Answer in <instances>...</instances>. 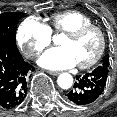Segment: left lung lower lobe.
<instances>
[{
    "mask_svg": "<svg viewBox=\"0 0 117 117\" xmlns=\"http://www.w3.org/2000/svg\"><path fill=\"white\" fill-rule=\"evenodd\" d=\"M109 77V68L98 66L84 76H76L73 88L67 93V99L76 105H88L96 101L103 93Z\"/></svg>",
    "mask_w": 117,
    "mask_h": 117,
    "instance_id": "0a47b994",
    "label": "left lung lower lobe"
}]
</instances>
